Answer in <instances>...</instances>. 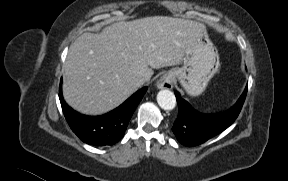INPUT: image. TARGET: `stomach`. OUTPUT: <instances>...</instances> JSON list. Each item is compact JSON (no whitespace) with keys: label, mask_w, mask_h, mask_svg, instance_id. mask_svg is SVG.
Wrapping results in <instances>:
<instances>
[{"label":"stomach","mask_w":288,"mask_h":181,"mask_svg":"<svg viewBox=\"0 0 288 181\" xmlns=\"http://www.w3.org/2000/svg\"><path fill=\"white\" fill-rule=\"evenodd\" d=\"M219 66L218 51L209 39L206 26L200 24L197 35L186 48L183 66L171 69L167 75L177 79L189 95L198 96Z\"/></svg>","instance_id":"1"}]
</instances>
